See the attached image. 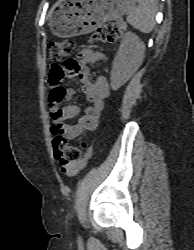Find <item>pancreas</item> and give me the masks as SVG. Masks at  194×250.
Returning a JSON list of instances; mask_svg holds the SVG:
<instances>
[{
	"mask_svg": "<svg viewBox=\"0 0 194 250\" xmlns=\"http://www.w3.org/2000/svg\"><path fill=\"white\" fill-rule=\"evenodd\" d=\"M117 23H118L120 29H122V30L126 29V23H124L122 21H118Z\"/></svg>",
	"mask_w": 194,
	"mask_h": 250,
	"instance_id": "pancreas-1",
	"label": "pancreas"
}]
</instances>
